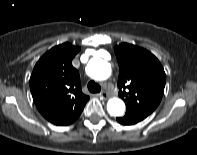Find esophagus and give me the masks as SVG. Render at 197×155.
Instances as JSON below:
<instances>
[{"label":"esophagus","instance_id":"esophagus-1","mask_svg":"<svg viewBox=\"0 0 197 155\" xmlns=\"http://www.w3.org/2000/svg\"><path fill=\"white\" fill-rule=\"evenodd\" d=\"M100 96H101V98L102 99H104V100H107V99H109V94L108 93H106V92H102L101 94H100Z\"/></svg>","mask_w":197,"mask_h":155}]
</instances>
